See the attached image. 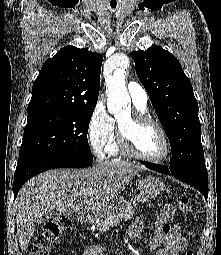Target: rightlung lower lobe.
<instances>
[{
    "mask_svg": "<svg viewBox=\"0 0 221 255\" xmlns=\"http://www.w3.org/2000/svg\"><path fill=\"white\" fill-rule=\"evenodd\" d=\"M92 162L62 156L27 152L19 155L14 175V198L23 184L33 176L53 168H83Z\"/></svg>",
    "mask_w": 221,
    "mask_h": 255,
    "instance_id": "98d812e1",
    "label": "right lung lower lobe"
}]
</instances>
